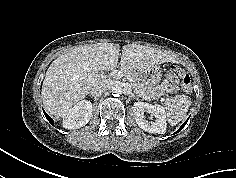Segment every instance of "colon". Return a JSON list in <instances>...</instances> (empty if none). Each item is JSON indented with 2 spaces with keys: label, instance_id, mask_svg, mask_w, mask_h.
<instances>
[{
  "label": "colon",
  "instance_id": "5ec220e1",
  "mask_svg": "<svg viewBox=\"0 0 236 178\" xmlns=\"http://www.w3.org/2000/svg\"><path fill=\"white\" fill-rule=\"evenodd\" d=\"M168 74L174 76H181L182 79V89L186 93L191 92V77L189 74L184 73L183 70L176 65H172L168 68Z\"/></svg>",
  "mask_w": 236,
  "mask_h": 178
}]
</instances>
